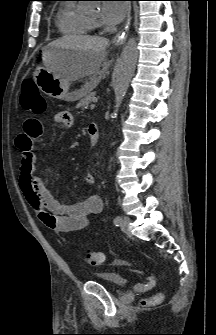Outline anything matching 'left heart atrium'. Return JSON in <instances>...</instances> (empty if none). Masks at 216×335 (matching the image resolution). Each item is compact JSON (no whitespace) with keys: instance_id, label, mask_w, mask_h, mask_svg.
I'll use <instances>...</instances> for the list:
<instances>
[{"instance_id":"left-heart-atrium-1","label":"left heart atrium","mask_w":216,"mask_h":335,"mask_svg":"<svg viewBox=\"0 0 216 335\" xmlns=\"http://www.w3.org/2000/svg\"><path fill=\"white\" fill-rule=\"evenodd\" d=\"M120 1H105L101 18L109 26H117L128 13V5Z\"/></svg>"}]
</instances>
